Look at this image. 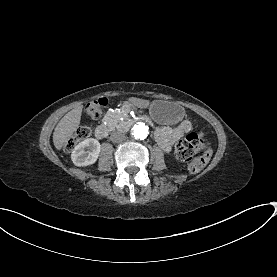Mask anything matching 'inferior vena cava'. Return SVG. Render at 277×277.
<instances>
[{
  "label": "inferior vena cava",
  "mask_w": 277,
  "mask_h": 277,
  "mask_svg": "<svg viewBox=\"0 0 277 277\" xmlns=\"http://www.w3.org/2000/svg\"><path fill=\"white\" fill-rule=\"evenodd\" d=\"M110 140L112 142H121L125 140V136L119 132H112L110 135Z\"/></svg>",
  "instance_id": "1"
}]
</instances>
